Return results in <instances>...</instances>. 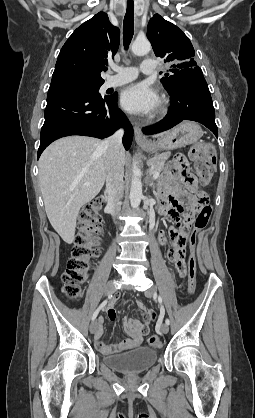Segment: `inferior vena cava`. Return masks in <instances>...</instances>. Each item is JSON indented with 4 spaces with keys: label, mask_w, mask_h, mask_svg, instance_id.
Returning <instances> with one entry per match:
<instances>
[{
    "label": "inferior vena cava",
    "mask_w": 255,
    "mask_h": 418,
    "mask_svg": "<svg viewBox=\"0 0 255 418\" xmlns=\"http://www.w3.org/2000/svg\"><path fill=\"white\" fill-rule=\"evenodd\" d=\"M123 133V129H120L102 142L105 149L107 206L113 212L117 211L116 204L124 192V163L121 157Z\"/></svg>",
    "instance_id": "1"
}]
</instances>
